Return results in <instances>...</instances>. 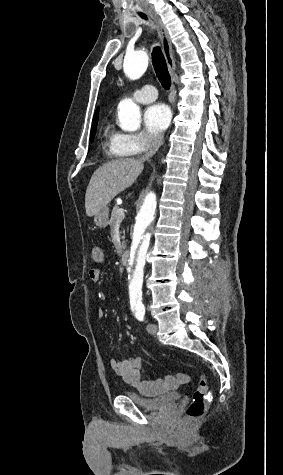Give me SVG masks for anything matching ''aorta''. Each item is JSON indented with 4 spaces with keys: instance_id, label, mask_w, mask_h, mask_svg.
<instances>
[{
    "instance_id": "1",
    "label": "aorta",
    "mask_w": 283,
    "mask_h": 475,
    "mask_svg": "<svg viewBox=\"0 0 283 475\" xmlns=\"http://www.w3.org/2000/svg\"><path fill=\"white\" fill-rule=\"evenodd\" d=\"M148 54L145 50H136L126 54L123 68L131 80L140 78L148 67ZM120 127L125 131H136L140 127L141 113L131 99L122 100L118 105ZM158 196L154 191L147 192L139 199L134 217L131 236L132 243L127 266L129 282V300L134 308H143L142 285L146 264V255L152 237L161 219L159 216Z\"/></svg>"
}]
</instances>
